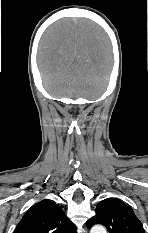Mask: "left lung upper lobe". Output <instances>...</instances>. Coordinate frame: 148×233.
<instances>
[{
	"mask_svg": "<svg viewBox=\"0 0 148 233\" xmlns=\"http://www.w3.org/2000/svg\"><path fill=\"white\" fill-rule=\"evenodd\" d=\"M95 212L96 215L86 222L89 229L95 224H102L109 233H145L133 210L117 198L104 199Z\"/></svg>",
	"mask_w": 148,
	"mask_h": 233,
	"instance_id": "obj_1",
	"label": "left lung upper lobe"
}]
</instances>
